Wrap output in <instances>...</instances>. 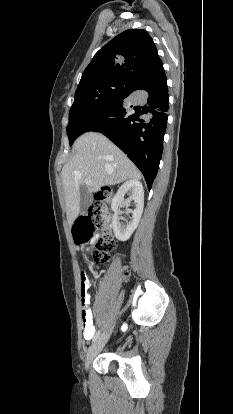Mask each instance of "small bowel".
Wrapping results in <instances>:
<instances>
[{"instance_id": "c3829d8e", "label": "small bowel", "mask_w": 233, "mask_h": 414, "mask_svg": "<svg viewBox=\"0 0 233 414\" xmlns=\"http://www.w3.org/2000/svg\"><path fill=\"white\" fill-rule=\"evenodd\" d=\"M79 277L81 281V321H82V329H83V337L85 340H90L95 334V327L93 325V314L92 310L90 309V295L88 294L87 290L92 289V284L89 283L90 276L88 275L86 270L79 271Z\"/></svg>"}]
</instances>
